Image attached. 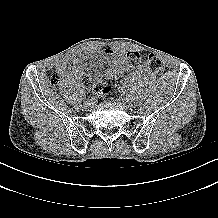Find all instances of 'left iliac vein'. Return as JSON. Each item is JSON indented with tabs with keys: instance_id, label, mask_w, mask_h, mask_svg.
I'll use <instances>...</instances> for the list:
<instances>
[{
	"instance_id": "left-iliac-vein-1",
	"label": "left iliac vein",
	"mask_w": 218,
	"mask_h": 218,
	"mask_svg": "<svg viewBox=\"0 0 218 218\" xmlns=\"http://www.w3.org/2000/svg\"><path fill=\"white\" fill-rule=\"evenodd\" d=\"M121 103L125 106V107H129L131 105V101L128 98H121Z\"/></svg>"
}]
</instances>
